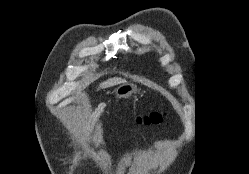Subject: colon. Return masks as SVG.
I'll return each mask as SVG.
<instances>
[{"label": "colon", "instance_id": "1", "mask_svg": "<svg viewBox=\"0 0 249 174\" xmlns=\"http://www.w3.org/2000/svg\"><path fill=\"white\" fill-rule=\"evenodd\" d=\"M164 119V114L161 112H152L145 116H140L137 118L139 124L145 125H159Z\"/></svg>", "mask_w": 249, "mask_h": 174}]
</instances>
